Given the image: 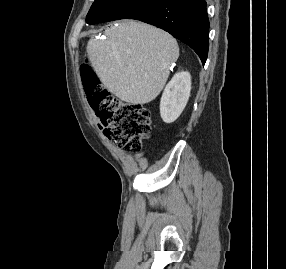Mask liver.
<instances>
[{"label": "liver", "instance_id": "obj_1", "mask_svg": "<svg viewBox=\"0 0 286 269\" xmlns=\"http://www.w3.org/2000/svg\"><path fill=\"white\" fill-rule=\"evenodd\" d=\"M87 58L103 85L131 104H146L162 91L173 62L177 41L152 25L132 20L106 31V39L91 38Z\"/></svg>", "mask_w": 286, "mask_h": 269}]
</instances>
